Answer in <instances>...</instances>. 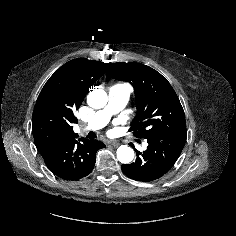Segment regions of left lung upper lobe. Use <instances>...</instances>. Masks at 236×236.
<instances>
[{
  "mask_svg": "<svg viewBox=\"0 0 236 236\" xmlns=\"http://www.w3.org/2000/svg\"><path fill=\"white\" fill-rule=\"evenodd\" d=\"M107 78L130 82L137 112L130 131L139 138L186 128L185 114L170 83L153 68L140 63H114Z\"/></svg>",
  "mask_w": 236,
  "mask_h": 236,
  "instance_id": "5c2ea615",
  "label": "left lung upper lobe"
}]
</instances>
